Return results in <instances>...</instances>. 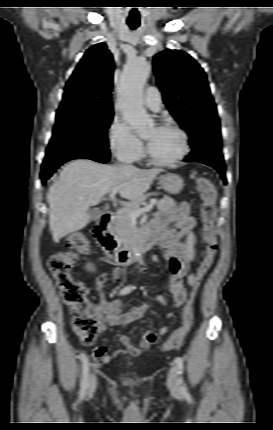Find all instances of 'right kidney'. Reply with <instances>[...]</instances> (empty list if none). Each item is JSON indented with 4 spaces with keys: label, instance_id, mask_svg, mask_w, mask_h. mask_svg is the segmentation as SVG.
Listing matches in <instances>:
<instances>
[{
    "label": "right kidney",
    "instance_id": "ca27d5eb",
    "mask_svg": "<svg viewBox=\"0 0 273 430\" xmlns=\"http://www.w3.org/2000/svg\"><path fill=\"white\" fill-rule=\"evenodd\" d=\"M87 269H88V270H90V271H93V270H94V268H93V266H92V265H87Z\"/></svg>",
    "mask_w": 273,
    "mask_h": 430
}]
</instances>
